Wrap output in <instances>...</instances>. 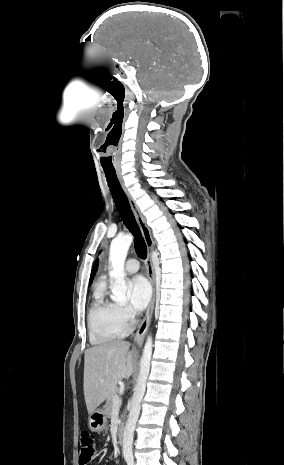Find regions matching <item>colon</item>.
Here are the masks:
<instances>
[{"instance_id":"1","label":"colon","mask_w":284,"mask_h":465,"mask_svg":"<svg viewBox=\"0 0 284 465\" xmlns=\"http://www.w3.org/2000/svg\"><path fill=\"white\" fill-rule=\"evenodd\" d=\"M80 465H87L95 454L94 439L89 432L81 431L80 433Z\"/></svg>"}]
</instances>
